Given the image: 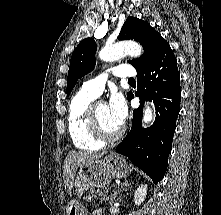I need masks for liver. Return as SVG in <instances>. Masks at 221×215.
<instances>
[{"label":"liver","mask_w":221,"mask_h":215,"mask_svg":"<svg viewBox=\"0 0 221 215\" xmlns=\"http://www.w3.org/2000/svg\"><path fill=\"white\" fill-rule=\"evenodd\" d=\"M104 154L105 152H69L64 160L63 177L65 187L70 195L77 169L88 161L101 158Z\"/></svg>","instance_id":"obj_1"}]
</instances>
